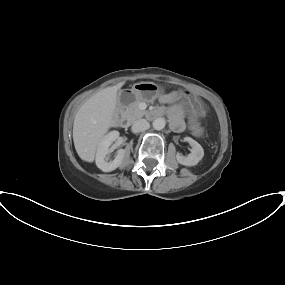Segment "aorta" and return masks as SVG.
I'll return each mask as SVG.
<instances>
[{"instance_id": "obj_1", "label": "aorta", "mask_w": 285, "mask_h": 285, "mask_svg": "<svg viewBox=\"0 0 285 285\" xmlns=\"http://www.w3.org/2000/svg\"><path fill=\"white\" fill-rule=\"evenodd\" d=\"M165 119L164 118H157L153 121V128L155 130H162L165 127Z\"/></svg>"}]
</instances>
